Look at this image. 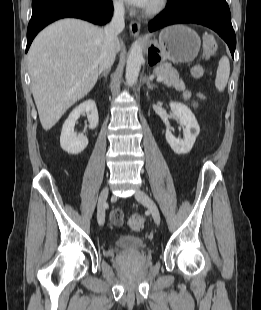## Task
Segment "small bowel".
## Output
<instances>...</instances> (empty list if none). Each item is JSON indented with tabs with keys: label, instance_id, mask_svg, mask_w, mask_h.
<instances>
[{
	"label": "small bowel",
	"instance_id": "obj_1",
	"mask_svg": "<svg viewBox=\"0 0 261 310\" xmlns=\"http://www.w3.org/2000/svg\"><path fill=\"white\" fill-rule=\"evenodd\" d=\"M183 98L185 99V100H190V98H191V93H190V91H185L184 93H183ZM203 99V96L202 95H198L197 96V100H194V101H192V104H193V106H197L198 105V101L199 100H202ZM113 222V221H112ZM122 223H123V221H121Z\"/></svg>",
	"mask_w": 261,
	"mask_h": 310
}]
</instances>
